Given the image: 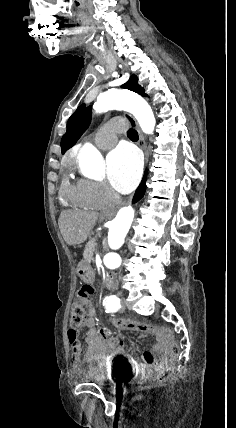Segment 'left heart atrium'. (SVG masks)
I'll list each match as a JSON object with an SVG mask.
<instances>
[{"instance_id":"left-heart-atrium-1","label":"left heart atrium","mask_w":236,"mask_h":428,"mask_svg":"<svg viewBox=\"0 0 236 428\" xmlns=\"http://www.w3.org/2000/svg\"><path fill=\"white\" fill-rule=\"evenodd\" d=\"M106 169L111 185L121 193H128L140 180L142 159L134 147L121 145L108 155Z\"/></svg>"}]
</instances>
